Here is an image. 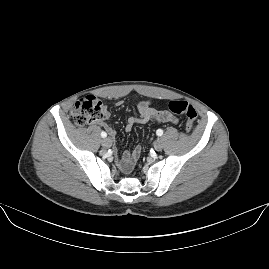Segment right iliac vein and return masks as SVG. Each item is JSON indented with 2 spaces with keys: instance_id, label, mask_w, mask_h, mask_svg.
<instances>
[{
  "instance_id": "obj_1",
  "label": "right iliac vein",
  "mask_w": 269,
  "mask_h": 269,
  "mask_svg": "<svg viewBox=\"0 0 269 269\" xmlns=\"http://www.w3.org/2000/svg\"><path fill=\"white\" fill-rule=\"evenodd\" d=\"M101 143H102V146H103V147H105V148H110L111 145H112V140H111L109 137H107V138H104V139L101 141Z\"/></svg>"
}]
</instances>
